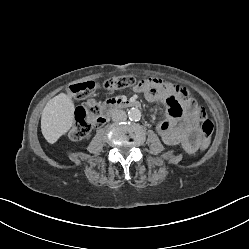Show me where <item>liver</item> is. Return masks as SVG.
I'll use <instances>...</instances> for the list:
<instances>
[{
	"label": "liver",
	"mask_w": 249,
	"mask_h": 249,
	"mask_svg": "<svg viewBox=\"0 0 249 249\" xmlns=\"http://www.w3.org/2000/svg\"><path fill=\"white\" fill-rule=\"evenodd\" d=\"M74 110L72 99L64 93L47 102L41 116V131L47 142L53 144L69 131L74 122Z\"/></svg>",
	"instance_id": "6515ba94"
}]
</instances>
